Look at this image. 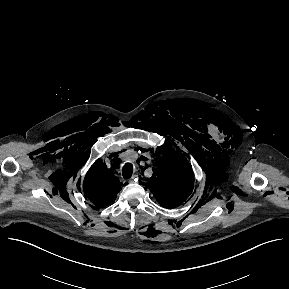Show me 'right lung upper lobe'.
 <instances>
[{
	"label": "right lung upper lobe",
	"mask_w": 289,
	"mask_h": 289,
	"mask_svg": "<svg viewBox=\"0 0 289 289\" xmlns=\"http://www.w3.org/2000/svg\"><path fill=\"white\" fill-rule=\"evenodd\" d=\"M121 185L112 171L107 169L102 161L97 160L85 176L83 191L86 198L95 205L92 208L98 209L116 199Z\"/></svg>",
	"instance_id": "1"
}]
</instances>
